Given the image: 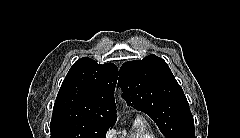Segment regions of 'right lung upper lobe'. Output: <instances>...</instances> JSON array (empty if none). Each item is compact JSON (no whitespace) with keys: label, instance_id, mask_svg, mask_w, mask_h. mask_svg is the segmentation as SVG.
I'll use <instances>...</instances> for the list:
<instances>
[{"label":"right lung upper lobe","instance_id":"right-lung-upper-lobe-1","mask_svg":"<svg viewBox=\"0 0 240 138\" xmlns=\"http://www.w3.org/2000/svg\"><path fill=\"white\" fill-rule=\"evenodd\" d=\"M118 68L84 57L70 68L58 92L52 118L74 117L114 124L117 119L114 90Z\"/></svg>","mask_w":240,"mask_h":138}]
</instances>
